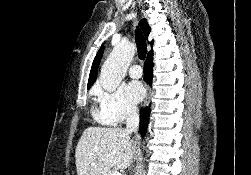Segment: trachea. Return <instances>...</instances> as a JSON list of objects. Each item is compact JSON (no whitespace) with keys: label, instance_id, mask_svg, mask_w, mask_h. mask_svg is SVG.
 <instances>
[{"label":"trachea","instance_id":"trachea-1","mask_svg":"<svg viewBox=\"0 0 251 175\" xmlns=\"http://www.w3.org/2000/svg\"><path fill=\"white\" fill-rule=\"evenodd\" d=\"M135 40L137 44V51H138L139 58L141 60H144L147 53V45H146V40L144 38V35L139 30V28H137L135 32Z\"/></svg>","mask_w":251,"mask_h":175}]
</instances>
